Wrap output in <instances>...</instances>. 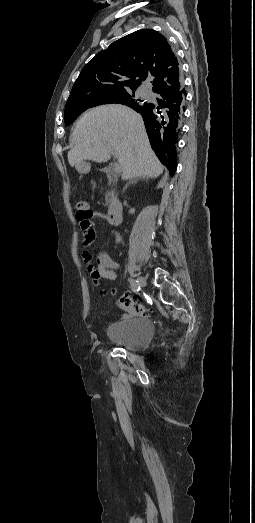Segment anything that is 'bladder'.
Here are the masks:
<instances>
[{
	"instance_id": "31cf9c89",
	"label": "bladder",
	"mask_w": 255,
	"mask_h": 523,
	"mask_svg": "<svg viewBox=\"0 0 255 523\" xmlns=\"http://www.w3.org/2000/svg\"><path fill=\"white\" fill-rule=\"evenodd\" d=\"M108 340L128 350H140L147 346L153 337V323L147 318L128 317L109 326Z\"/></svg>"
}]
</instances>
